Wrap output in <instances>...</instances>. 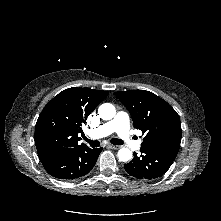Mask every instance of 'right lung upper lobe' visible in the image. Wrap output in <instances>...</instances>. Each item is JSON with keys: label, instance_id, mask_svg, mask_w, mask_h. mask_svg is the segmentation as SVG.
<instances>
[{"label": "right lung upper lobe", "instance_id": "cb5924a9", "mask_svg": "<svg viewBox=\"0 0 221 221\" xmlns=\"http://www.w3.org/2000/svg\"><path fill=\"white\" fill-rule=\"evenodd\" d=\"M108 92L90 88H68L42 110L35 127L38 154L79 146L81 125ZM83 145V144H81Z\"/></svg>", "mask_w": 221, "mask_h": 221}]
</instances>
